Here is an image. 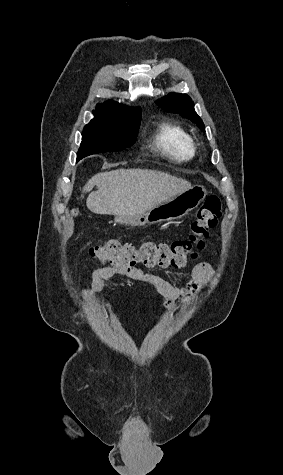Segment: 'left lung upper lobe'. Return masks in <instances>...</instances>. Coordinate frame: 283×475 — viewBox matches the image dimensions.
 <instances>
[{
    "label": "left lung upper lobe",
    "instance_id": "5c2ea615",
    "mask_svg": "<svg viewBox=\"0 0 283 475\" xmlns=\"http://www.w3.org/2000/svg\"><path fill=\"white\" fill-rule=\"evenodd\" d=\"M161 108L171 113H179L182 117L190 119L204 132L205 126L201 118L194 110L192 99L186 94L170 93L168 96L157 101Z\"/></svg>",
    "mask_w": 283,
    "mask_h": 475
}]
</instances>
